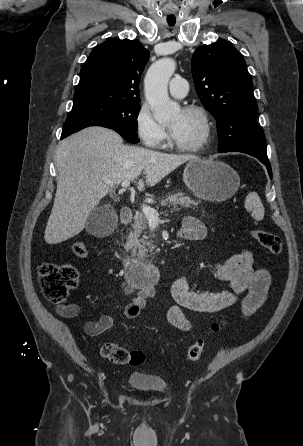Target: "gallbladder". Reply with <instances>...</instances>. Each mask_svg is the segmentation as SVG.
<instances>
[{
	"label": "gallbladder",
	"instance_id": "gallbladder-1",
	"mask_svg": "<svg viewBox=\"0 0 303 446\" xmlns=\"http://www.w3.org/2000/svg\"><path fill=\"white\" fill-rule=\"evenodd\" d=\"M117 223L115 212L107 207L95 208L89 215L86 223V230L95 236H103L112 231Z\"/></svg>",
	"mask_w": 303,
	"mask_h": 446
}]
</instances>
